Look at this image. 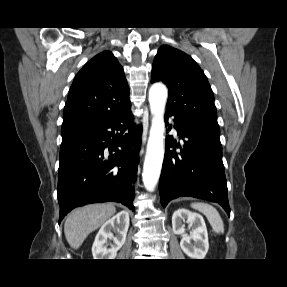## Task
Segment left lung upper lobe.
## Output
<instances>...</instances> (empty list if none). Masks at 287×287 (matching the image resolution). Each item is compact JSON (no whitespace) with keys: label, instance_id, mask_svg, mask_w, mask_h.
<instances>
[{"label":"left lung upper lobe","instance_id":"1","mask_svg":"<svg viewBox=\"0 0 287 287\" xmlns=\"http://www.w3.org/2000/svg\"><path fill=\"white\" fill-rule=\"evenodd\" d=\"M157 81L165 83L169 90L166 111L220 143L212 89L202 69L189 55L168 45L161 46L152 66L151 82Z\"/></svg>","mask_w":287,"mask_h":287}]
</instances>
